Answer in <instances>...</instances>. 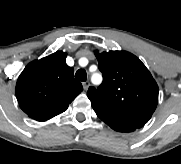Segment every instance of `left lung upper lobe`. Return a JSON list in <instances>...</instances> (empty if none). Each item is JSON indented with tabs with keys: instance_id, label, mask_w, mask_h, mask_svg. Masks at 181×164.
I'll use <instances>...</instances> for the list:
<instances>
[{
	"instance_id": "1",
	"label": "left lung upper lobe",
	"mask_w": 181,
	"mask_h": 164,
	"mask_svg": "<svg viewBox=\"0 0 181 164\" xmlns=\"http://www.w3.org/2000/svg\"><path fill=\"white\" fill-rule=\"evenodd\" d=\"M103 82L89 87L87 96L99 118L137 128L151 118L158 103V86L135 55L126 51L95 52Z\"/></svg>"
}]
</instances>
